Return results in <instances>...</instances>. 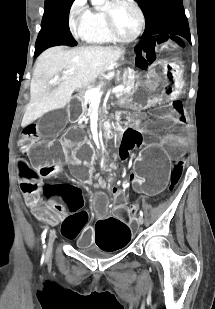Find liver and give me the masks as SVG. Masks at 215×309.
I'll return each mask as SVG.
<instances>
[{"mask_svg": "<svg viewBox=\"0 0 215 309\" xmlns=\"http://www.w3.org/2000/svg\"><path fill=\"white\" fill-rule=\"evenodd\" d=\"M123 54L121 46H76L64 50L63 46H52L44 50L36 60L30 82V102L23 116L22 126L32 120L33 114L40 116L42 112L63 108L70 102L76 88H84L94 82L110 64L119 60ZM62 74L58 86L48 90V80L54 74Z\"/></svg>", "mask_w": 215, "mask_h": 309, "instance_id": "1", "label": "liver"}]
</instances>
